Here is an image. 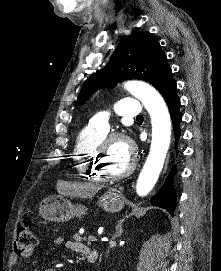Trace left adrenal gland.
Listing matches in <instances>:
<instances>
[{
	"label": "left adrenal gland",
	"instance_id": "obj_1",
	"mask_svg": "<svg viewBox=\"0 0 221 271\" xmlns=\"http://www.w3.org/2000/svg\"><path fill=\"white\" fill-rule=\"evenodd\" d=\"M123 219H119L117 225H116V231H115V237H119V235H121L122 231H124V229H122V223Z\"/></svg>",
	"mask_w": 221,
	"mask_h": 271
}]
</instances>
